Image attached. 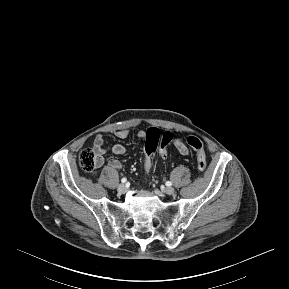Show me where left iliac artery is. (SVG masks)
Wrapping results in <instances>:
<instances>
[{"label":"left iliac artery","instance_id":"obj_1","mask_svg":"<svg viewBox=\"0 0 289 289\" xmlns=\"http://www.w3.org/2000/svg\"><path fill=\"white\" fill-rule=\"evenodd\" d=\"M171 185H172V182H170V181L166 182V186H171Z\"/></svg>","mask_w":289,"mask_h":289}]
</instances>
